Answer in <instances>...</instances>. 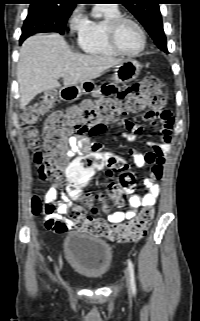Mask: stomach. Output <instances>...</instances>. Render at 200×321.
<instances>
[{
    "label": "stomach",
    "instance_id": "0dacf381",
    "mask_svg": "<svg viewBox=\"0 0 200 321\" xmlns=\"http://www.w3.org/2000/svg\"><path fill=\"white\" fill-rule=\"evenodd\" d=\"M141 65L137 60L127 59L114 66L112 81L114 83H128L135 80L140 73ZM94 83L88 81L80 85L64 87L59 95L66 101L77 100L82 94L93 92Z\"/></svg>",
    "mask_w": 200,
    "mask_h": 321
}]
</instances>
